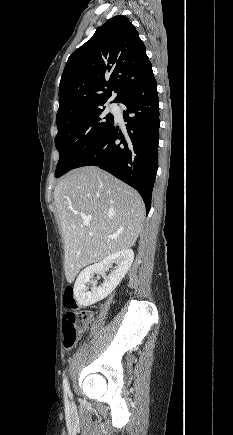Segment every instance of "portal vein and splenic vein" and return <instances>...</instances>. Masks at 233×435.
<instances>
[{
  "label": "portal vein and splenic vein",
  "mask_w": 233,
  "mask_h": 435,
  "mask_svg": "<svg viewBox=\"0 0 233 435\" xmlns=\"http://www.w3.org/2000/svg\"><path fill=\"white\" fill-rule=\"evenodd\" d=\"M89 225V221H84V226H88ZM109 238H113V236H109Z\"/></svg>",
  "instance_id": "obj_1"
}]
</instances>
